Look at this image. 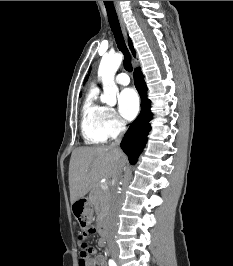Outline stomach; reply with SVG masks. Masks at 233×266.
<instances>
[{"mask_svg":"<svg viewBox=\"0 0 233 266\" xmlns=\"http://www.w3.org/2000/svg\"><path fill=\"white\" fill-rule=\"evenodd\" d=\"M74 217L77 221V232H86V228H92L93 220L90 209H92L91 199H75L73 204Z\"/></svg>","mask_w":233,"mask_h":266,"instance_id":"0dacf381","label":"stomach"}]
</instances>
